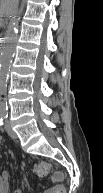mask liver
I'll return each instance as SVG.
<instances>
[{"mask_svg":"<svg viewBox=\"0 0 103 193\" xmlns=\"http://www.w3.org/2000/svg\"><path fill=\"white\" fill-rule=\"evenodd\" d=\"M16 0H1L0 1V14L1 16H9L13 13Z\"/></svg>","mask_w":103,"mask_h":193,"instance_id":"6515ba94","label":"liver"}]
</instances>
